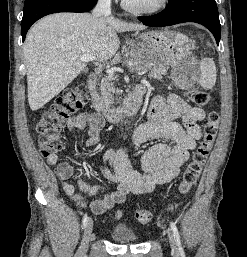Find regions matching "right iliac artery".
Here are the masks:
<instances>
[{"label":"right iliac artery","mask_w":247,"mask_h":257,"mask_svg":"<svg viewBox=\"0 0 247 257\" xmlns=\"http://www.w3.org/2000/svg\"><path fill=\"white\" fill-rule=\"evenodd\" d=\"M87 223H88V216H87V214H85L84 217H83V220H82L83 228L86 227Z\"/></svg>","instance_id":"1"}]
</instances>
